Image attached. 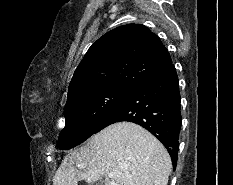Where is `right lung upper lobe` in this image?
Returning <instances> with one entry per match:
<instances>
[{
  "label": "right lung upper lobe",
  "mask_w": 233,
  "mask_h": 185,
  "mask_svg": "<svg viewBox=\"0 0 233 185\" xmlns=\"http://www.w3.org/2000/svg\"><path fill=\"white\" fill-rule=\"evenodd\" d=\"M171 63L168 50L147 27L140 24L117 27L89 48L74 72L67 102L103 88L131 90Z\"/></svg>",
  "instance_id": "1"
}]
</instances>
